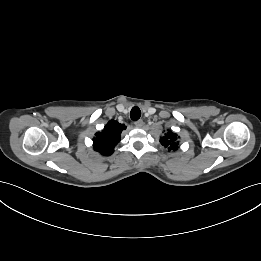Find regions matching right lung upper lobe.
I'll return each instance as SVG.
<instances>
[{"label": "right lung upper lobe", "mask_w": 261, "mask_h": 261, "mask_svg": "<svg viewBox=\"0 0 261 261\" xmlns=\"http://www.w3.org/2000/svg\"><path fill=\"white\" fill-rule=\"evenodd\" d=\"M125 129L126 126L123 124H120L115 120L109 121L101 132L95 134L96 137L93 139L94 150L104 156L111 155L114 151V147L120 141V134Z\"/></svg>", "instance_id": "1"}]
</instances>
